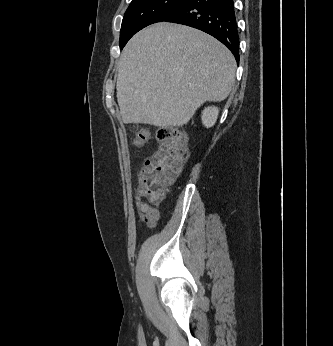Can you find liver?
Listing matches in <instances>:
<instances>
[{
    "label": "liver",
    "mask_w": 333,
    "mask_h": 346,
    "mask_svg": "<svg viewBox=\"0 0 333 346\" xmlns=\"http://www.w3.org/2000/svg\"><path fill=\"white\" fill-rule=\"evenodd\" d=\"M118 69L117 101L123 122L166 128L187 124L206 101L226 99L236 61L214 37L162 22L130 39Z\"/></svg>",
    "instance_id": "liver-1"
}]
</instances>
